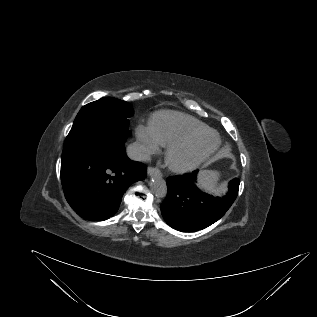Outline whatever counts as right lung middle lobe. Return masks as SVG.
<instances>
[{"label": "right lung middle lobe", "mask_w": 317, "mask_h": 317, "mask_svg": "<svg viewBox=\"0 0 317 317\" xmlns=\"http://www.w3.org/2000/svg\"><path fill=\"white\" fill-rule=\"evenodd\" d=\"M133 109L127 102L112 97L101 98L81 108L66 137L62 159L75 156L104 137L126 139Z\"/></svg>", "instance_id": "dd1d6c3e"}]
</instances>
